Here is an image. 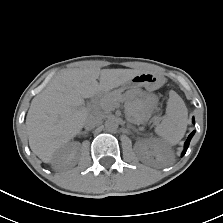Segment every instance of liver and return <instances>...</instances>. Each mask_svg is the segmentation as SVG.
I'll return each instance as SVG.
<instances>
[{
  "instance_id": "liver-1",
  "label": "liver",
  "mask_w": 223,
  "mask_h": 223,
  "mask_svg": "<svg viewBox=\"0 0 223 223\" xmlns=\"http://www.w3.org/2000/svg\"><path fill=\"white\" fill-rule=\"evenodd\" d=\"M140 73L93 67L57 75L31 102L26 118L31 150L44 163L52 162L54 153L83 128L89 115L84 99L125 85Z\"/></svg>"
}]
</instances>
